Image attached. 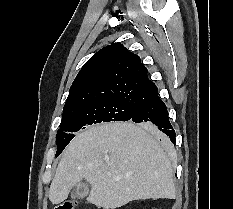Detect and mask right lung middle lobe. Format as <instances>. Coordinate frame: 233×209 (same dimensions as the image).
Here are the masks:
<instances>
[{
  "mask_svg": "<svg viewBox=\"0 0 233 209\" xmlns=\"http://www.w3.org/2000/svg\"><path fill=\"white\" fill-rule=\"evenodd\" d=\"M140 106L142 105L121 100H101L75 107L63 113L60 129L57 131L55 156L57 157L74 138L73 132L96 123L128 121ZM141 125L150 127L147 124Z\"/></svg>",
  "mask_w": 233,
  "mask_h": 209,
  "instance_id": "right-lung-middle-lobe-1",
  "label": "right lung middle lobe"
}]
</instances>
